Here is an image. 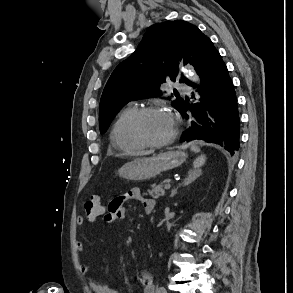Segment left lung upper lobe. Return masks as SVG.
<instances>
[{
	"mask_svg": "<svg viewBox=\"0 0 293 293\" xmlns=\"http://www.w3.org/2000/svg\"><path fill=\"white\" fill-rule=\"evenodd\" d=\"M209 40L195 25L183 20L150 26L138 49L115 68L104 88L99 110L100 132H106L129 101L160 95V85L166 80L179 79L180 83L192 85L179 73L178 62L190 63L199 74ZM181 102L182 98L177 96L172 106L178 109Z\"/></svg>",
	"mask_w": 293,
	"mask_h": 293,
	"instance_id": "5c2ea615",
	"label": "left lung upper lobe"
}]
</instances>
